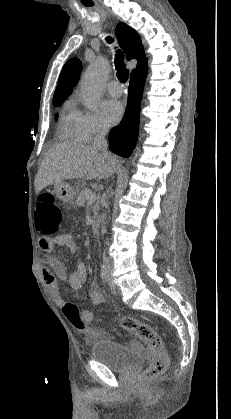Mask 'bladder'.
<instances>
[{
  "label": "bladder",
  "mask_w": 231,
  "mask_h": 419,
  "mask_svg": "<svg viewBox=\"0 0 231 419\" xmlns=\"http://www.w3.org/2000/svg\"><path fill=\"white\" fill-rule=\"evenodd\" d=\"M90 357L120 373L131 372L145 362L143 354L108 339L95 341L90 349Z\"/></svg>",
  "instance_id": "31cf9c89"
}]
</instances>
